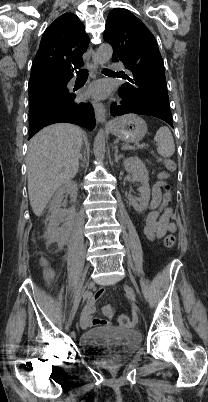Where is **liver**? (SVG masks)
<instances>
[{
  "mask_svg": "<svg viewBox=\"0 0 208 402\" xmlns=\"http://www.w3.org/2000/svg\"><path fill=\"white\" fill-rule=\"evenodd\" d=\"M83 132L71 124H53L38 132L27 152L28 194L35 216H42L56 190L78 172Z\"/></svg>",
  "mask_w": 208,
  "mask_h": 402,
  "instance_id": "liver-1",
  "label": "liver"
}]
</instances>
